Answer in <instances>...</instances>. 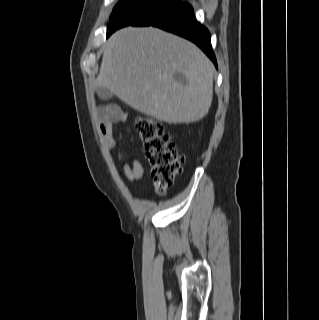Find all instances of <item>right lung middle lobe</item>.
<instances>
[{"label": "right lung middle lobe", "mask_w": 319, "mask_h": 320, "mask_svg": "<svg viewBox=\"0 0 319 320\" xmlns=\"http://www.w3.org/2000/svg\"><path fill=\"white\" fill-rule=\"evenodd\" d=\"M179 0H121L114 8L107 32L132 25L145 16L167 9Z\"/></svg>", "instance_id": "dd1d6c3e"}]
</instances>
